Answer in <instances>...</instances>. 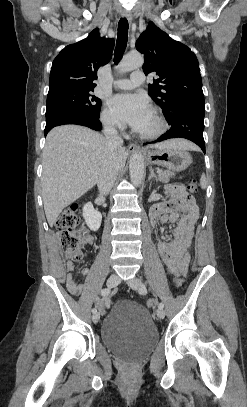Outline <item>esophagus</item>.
Listing matches in <instances>:
<instances>
[{
  "instance_id": "obj_1",
  "label": "esophagus",
  "mask_w": 247,
  "mask_h": 407,
  "mask_svg": "<svg viewBox=\"0 0 247 407\" xmlns=\"http://www.w3.org/2000/svg\"><path fill=\"white\" fill-rule=\"evenodd\" d=\"M121 15H122L123 18H127L129 22L132 21V16H131L130 13H128L126 11H122ZM127 149L129 151H134V150H139L140 147L138 145L134 144V143H131V144L128 145Z\"/></svg>"
}]
</instances>
